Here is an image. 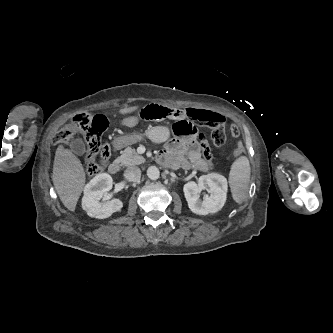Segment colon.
Instances as JSON below:
<instances>
[{
	"label": "colon",
	"instance_id": "1",
	"mask_svg": "<svg viewBox=\"0 0 333 333\" xmlns=\"http://www.w3.org/2000/svg\"><path fill=\"white\" fill-rule=\"evenodd\" d=\"M187 116L194 120H207L208 115L203 112L194 111L189 109L186 111ZM183 113L180 110L170 109L160 105L143 106L138 111L131 110L128 112L127 117L129 120L146 124L150 121L164 120L167 118L181 119ZM212 127L211 142L214 146H221L226 141V126L220 123L207 122ZM108 127V121L103 116H92L90 114H79L73 118L72 124L62 129L56 140L57 142L69 146L77 134H81L87 142V153L85 157V168L89 175L94 176L99 174L111 156V150L108 144L101 143V135ZM231 135L236 136L238 129L234 125L228 127ZM196 132L195 127L186 120H180L174 126V133L177 135L189 137ZM197 142L199 143L202 151V157L208 165H211V151L205 143L202 134L197 135ZM244 150L242 143H237L233 149V156H238ZM100 153V162L96 161V156Z\"/></svg>",
	"mask_w": 333,
	"mask_h": 333
}]
</instances>
